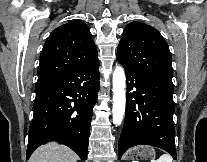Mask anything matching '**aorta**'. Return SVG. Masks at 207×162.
<instances>
[{
  "mask_svg": "<svg viewBox=\"0 0 207 162\" xmlns=\"http://www.w3.org/2000/svg\"><path fill=\"white\" fill-rule=\"evenodd\" d=\"M125 72L116 67L113 73V124L120 125L125 113Z\"/></svg>",
  "mask_w": 207,
  "mask_h": 162,
  "instance_id": "obj_1",
  "label": "aorta"
}]
</instances>
